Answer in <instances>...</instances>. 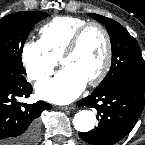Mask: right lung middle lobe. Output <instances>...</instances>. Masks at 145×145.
<instances>
[{"instance_id": "obj_1", "label": "right lung middle lobe", "mask_w": 145, "mask_h": 145, "mask_svg": "<svg viewBox=\"0 0 145 145\" xmlns=\"http://www.w3.org/2000/svg\"><path fill=\"white\" fill-rule=\"evenodd\" d=\"M46 17L45 12L24 11L0 20V73L23 74V44L33 26Z\"/></svg>"}]
</instances>
